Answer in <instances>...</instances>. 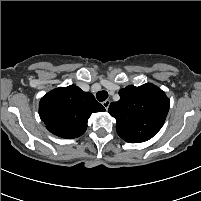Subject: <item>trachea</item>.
<instances>
[{
	"label": "trachea",
	"instance_id": "3493384b",
	"mask_svg": "<svg viewBox=\"0 0 201 201\" xmlns=\"http://www.w3.org/2000/svg\"><path fill=\"white\" fill-rule=\"evenodd\" d=\"M96 97H97L98 101L103 102V101H105L108 98V92L105 91V90L99 91L96 94Z\"/></svg>",
	"mask_w": 201,
	"mask_h": 201
}]
</instances>
